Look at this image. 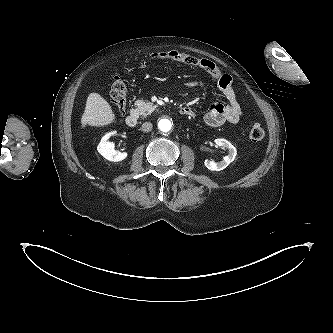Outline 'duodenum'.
Listing matches in <instances>:
<instances>
[{"instance_id":"obj_1","label":"duodenum","mask_w":333,"mask_h":333,"mask_svg":"<svg viewBox=\"0 0 333 333\" xmlns=\"http://www.w3.org/2000/svg\"><path fill=\"white\" fill-rule=\"evenodd\" d=\"M184 111H185V108H183L181 110L182 113H184ZM125 122H126L127 126H129L131 128L135 127L137 125V122H138V117H137L136 113H134V112L130 113L126 117Z\"/></svg>"}]
</instances>
